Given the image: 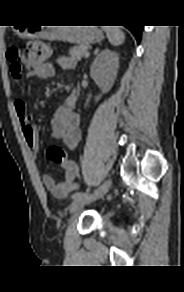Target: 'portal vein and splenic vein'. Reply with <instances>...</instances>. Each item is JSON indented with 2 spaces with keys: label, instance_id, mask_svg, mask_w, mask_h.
<instances>
[{
  "label": "portal vein and splenic vein",
  "instance_id": "1",
  "mask_svg": "<svg viewBox=\"0 0 184 292\" xmlns=\"http://www.w3.org/2000/svg\"><path fill=\"white\" fill-rule=\"evenodd\" d=\"M89 54H90V53L88 52V53L86 54V56H89Z\"/></svg>",
  "mask_w": 184,
  "mask_h": 292
}]
</instances>
